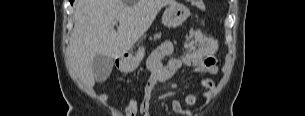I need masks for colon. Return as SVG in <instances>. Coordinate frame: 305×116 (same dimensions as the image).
I'll return each instance as SVG.
<instances>
[{
  "instance_id": "5ec220e1",
  "label": "colon",
  "mask_w": 305,
  "mask_h": 116,
  "mask_svg": "<svg viewBox=\"0 0 305 116\" xmlns=\"http://www.w3.org/2000/svg\"><path fill=\"white\" fill-rule=\"evenodd\" d=\"M140 104L141 99L138 97L131 98L122 110L120 116H138L140 113Z\"/></svg>"
}]
</instances>
